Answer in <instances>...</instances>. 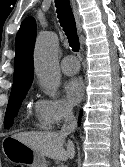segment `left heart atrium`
<instances>
[{
	"mask_svg": "<svg viewBox=\"0 0 125 167\" xmlns=\"http://www.w3.org/2000/svg\"><path fill=\"white\" fill-rule=\"evenodd\" d=\"M64 92L68 103L75 105L83 96L84 85L79 78L72 77L65 83Z\"/></svg>",
	"mask_w": 125,
	"mask_h": 167,
	"instance_id": "39dd6f15",
	"label": "left heart atrium"
}]
</instances>
